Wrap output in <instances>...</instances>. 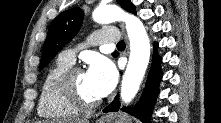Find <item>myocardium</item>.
Instances as JSON below:
<instances>
[{"label": "myocardium", "instance_id": "myocardium-1", "mask_svg": "<svg viewBox=\"0 0 221 123\" xmlns=\"http://www.w3.org/2000/svg\"><path fill=\"white\" fill-rule=\"evenodd\" d=\"M84 73L81 67L71 66L59 78L58 89L61 96L72 106L79 110H91L99 106L102 99L95 101L85 100L76 87V76Z\"/></svg>", "mask_w": 221, "mask_h": 123}]
</instances>
